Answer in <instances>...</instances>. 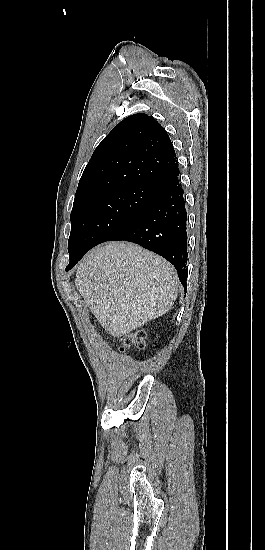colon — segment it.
Masks as SVG:
<instances>
[{
  "instance_id": "colon-1",
  "label": "colon",
  "mask_w": 265,
  "mask_h": 550,
  "mask_svg": "<svg viewBox=\"0 0 265 550\" xmlns=\"http://www.w3.org/2000/svg\"><path fill=\"white\" fill-rule=\"evenodd\" d=\"M145 337V332L143 330H136L133 333L127 335L124 339V345L127 348L136 347L138 349L142 348L144 343L143 339Z\"/></svg>"
}]
</instances>
